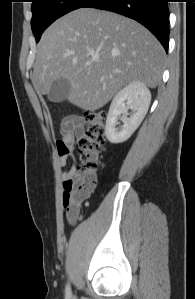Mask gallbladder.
<instances>
[{
  "mask_svg": "<svg viewBox=\"0 0 195 299\" xmlns=\"http://www.w3.org/2000/svg\"><path fill=\"white\" fill-rule=\"evenodd\" d=\"M71 90L68 80L60 78L54 81L48 93V99L53 103H60L66 99Z\"/></svg>",
  "mask_w": 195,
  "mask_h": 299,
  "instance_id": "obj_1",
  "label": "gallbladder"
}]
</instances>
